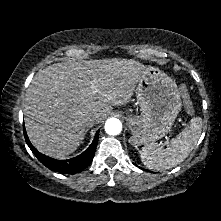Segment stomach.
Masks as SVG:
<instances>
[{
  "label": "stomach",
  "instance_id": "stomach-1",
  "mask_svg": "<svg viewBox=\"0 0 221 221\" xmlns=\"http://www.w3.org/2000/svg\"><path fill=\"white\" fill-rule=\"evenodd\" d=\"M139 116L126 117L134 146L148 144L165 136L181 110L180 92L174 80L158 68H145L136 87Z\"/></svg>",
  "mask_w": 221,
  "mask_h": 221
}]
</instances>
